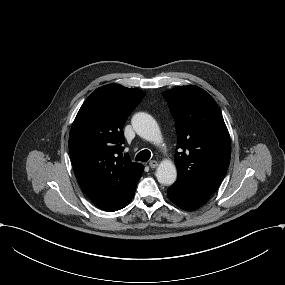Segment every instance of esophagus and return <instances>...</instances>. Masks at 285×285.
I'll return each instance as SVG.
<instances>
[{"label": "esophagus", "instance_id": "obj_1", "mask_svg": "<svg viewBox=\"0 0 285 285\" xmlns=\"http://www.w3.org/2000/svg\"><path fill=\"white\" fill-rule=\"evenodd\" d=\"M149 166L151 168H156L158 166V162L156 160H152L149 162Z\"/></svg>", "mask_w": 285, "mask_h": 285}]
</instances>
